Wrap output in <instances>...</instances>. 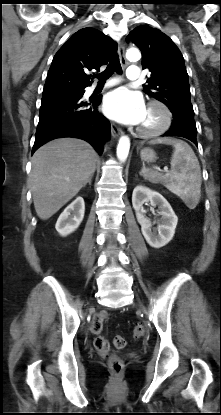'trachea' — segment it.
<instances>
[{
  "instance_id": "trachea-1",
  "label": "trachea",
  "mask_w": 221,
  "mask_h": 415,
  "mask_svg": "<svg viewBox=\"0 0 221 415\" xmlns=\"http://www.w3.org/2000/svg\"><path fill=\"white\" fill-rule=\"evenodd\" d=\"M114 72L121 73V64L119 61L118 56H115L111 59L110 63L108 64L107 68L100 74L96 75L95 77L98 78L99 82H105L109 77L113 75Z\"/></svg>"
}]
</instances>
